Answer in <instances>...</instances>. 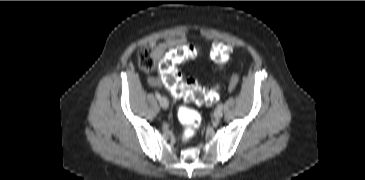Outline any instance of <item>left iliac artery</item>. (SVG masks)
Listing matches in <instances>:
<instances>
[{
	"mask_svg": "<svg viewBox=\"0 0 365 180\" xmlns=\"http://www.w3.org/2000/svg\"><path fill=\"white\" fill-rule=\"evenodd\" d=\"M217 107H218L219 109H222V108H223V105H222V104H219Z\"/></svg>",
	"mask_w": 365,
	"mask_h": 180,
	"instance_id": "left-iliac-artery-1",
	"label": "left iliac artery"
}]
</instances>
